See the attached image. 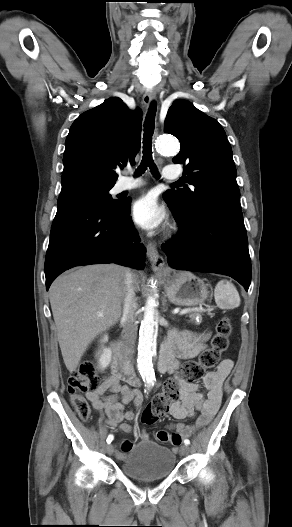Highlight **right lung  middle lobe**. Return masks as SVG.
I'll return each instance as SVG.
<instances>
[{
    "instance_id": "right-lung-middle-lobe-1",
    "label": "right lung middle lobe",
    "mask_w": 292,
    "mask_h": 527,
    "mask_svg": "<svg viewBox=\"0 0 292 527\" xmlns=\"http://www.w3.org/2000/svg\"><path fill=\"white\" fill-rule=\"evenodd\" d=\"M112 187L113 184L102 183L91 178H73L62 182L59 200L68 197L82 198L91 200L103 207L115 208L120 206L122 201L113 199L108 193Z\"/></svg>"
}]
</instances>
